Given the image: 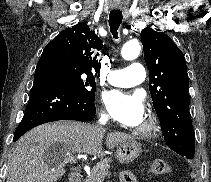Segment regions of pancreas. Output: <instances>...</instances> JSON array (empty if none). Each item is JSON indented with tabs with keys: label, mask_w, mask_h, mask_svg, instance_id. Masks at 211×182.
Instances as JSON below:
<instances>
[{
	"label": "pancreas",
	"mask_w": 211,
	"mask_h": 182,
	"mask_svg": "<svg viewBox=\"0 0 211 182\" xmlns=\"http://www.w3.org/2000/svg\"><path fill=\"white\" fill-rule=\"evenodd\" d=\"M110 163H112L110 157L102 159L83 182H103L105 176L109 173Z\"/></svg>",
	"instance_id": "1"
}]
</instances>
